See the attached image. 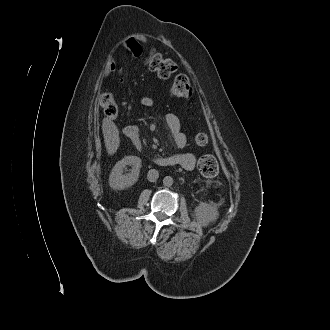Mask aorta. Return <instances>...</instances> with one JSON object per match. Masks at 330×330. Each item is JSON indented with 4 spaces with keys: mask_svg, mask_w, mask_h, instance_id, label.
<instances>
[{
    "mask_svg": "<svg viewBox=\"0 0 330 330\" xmlns=\"http://www.w3.org/2000/svg\"><path fill=\"white\" fill-rule=\"evenodd\" d=\"M173 182H174V180H173V178L171 176H166L163 179V185L164 186H167V187L172 186L173 185Z\"/></svg>",
    "mask_w": 330,
    "mask_h": 330,
    "instance_id": "1",
    "label": "aorta"
}]
</instances>
